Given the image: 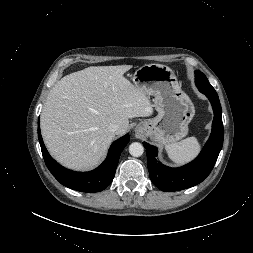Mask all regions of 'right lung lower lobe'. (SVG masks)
Segmentation results:
<instances>
[{
	"mask_svg": "<svg viewBox=\"0 0 253 253\" xmlns=\"http://www.w3.org/2000/svg\"><path fill=\"white\" fill-rule=\"evenodd\" d=\"M38 138L44 161L52 175L62 185L80 192H100L112 182L119 157L129 142V134L121 137L111 145L106 160L96 169L89 172H74L60 166L49 155L40 133L38 121Z\"/></svg>",
	"mask_w": 253,
	"mask_h": 253,
	"instance_id": "1",
	"label": "right lung lower lobe"
}]
</instances>
